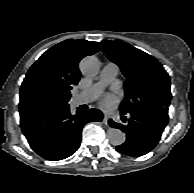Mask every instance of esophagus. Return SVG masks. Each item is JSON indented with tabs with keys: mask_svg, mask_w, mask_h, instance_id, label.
Here are the masks:
<instances>
[{
	"mask_svg": "<svg viewBox=\"0 0 194 193\" xmlns=\"http://www.w3.org/2000/svg\"><path fill=\"white\" fill-rule=\"evenodd\" d=\"M108 120H109L108 115L107 114H104L103 123L107 125L108 124Z\"/></svg>",
	"mask_w": 194,
	"mask_h": 193,
	"instance_id": "34e87169",
	"label": "esophagus"
}]
</instances>
